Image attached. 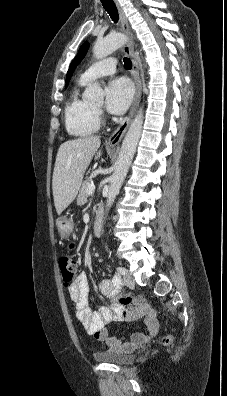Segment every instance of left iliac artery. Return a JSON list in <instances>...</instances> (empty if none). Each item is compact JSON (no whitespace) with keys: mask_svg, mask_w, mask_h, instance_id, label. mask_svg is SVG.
<instances>
[{"mask_svg":"<svg viewBox=\"0 0 227 396\" xmlns=\"http://www.w3.org/2000/svg\"><path fill=\"white\" fill-rule=\"evenodd\" d=\"M117 271H118V273L121 274V275H124V274L126 273V270H125V268H123V267H117Z\"/></svg>","mask_w":227,"mask_h":396,"instance_id":"1","label":"left iliac artery"}]
</instances>
